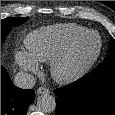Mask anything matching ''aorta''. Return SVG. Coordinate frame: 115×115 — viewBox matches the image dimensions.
<instances>
[{
  "label": "aorta",
  "mask_w": 115,
  "mask_h": 115,
  "mask_svg": "<svg viewBox=\"0 0 115 115\" xmlns=\"http://www.w3.org/2000/svg\"><path fill=\"white\" fill-rule=\"evenodd\" d=\"M38 108L44 113H51L56 109V101L52 95L42 94L37 99Z\"/></svg>",
  "instance_id": "obj_1"
}]
</instances>
